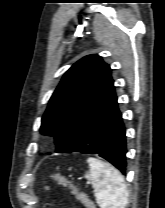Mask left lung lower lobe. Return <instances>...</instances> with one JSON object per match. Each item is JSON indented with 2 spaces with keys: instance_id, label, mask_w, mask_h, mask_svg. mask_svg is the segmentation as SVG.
Segmentation results:
<instances>
[{
  "instance_id": "0a47b994",
  "label": "left lung lower lobe",
  "mask_w": 165,
  "mask_h": 208,
  "mask_svg": "<svg viewBox=\"0 0 165 208\" xmlns=\"http://www.w3.org/2000/svg\"><path fill=\"white\" fill-rule=\"evenodd\" d=\"M66 152L96 153L126 173V136L115 90L80 129Z\"/></svg>"
}]
</instances>
